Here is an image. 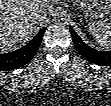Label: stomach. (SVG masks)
I'll use <instances>...</instances> for the list:
<instances>
[{"instance_id": "0dacf381", "label": "stomach", "mask_w": 111, "mask_h": 106, "mask_svg": "<svg viewBox=\"0 0 111 106\" xmlns=\"http://www.w3.org/2000/svg\"><path fill=\"white\" fill-rule=\"evenodd\" d=\"M75 5L85 17L102 18L111 10V0H78Z\"/></svg>"}]
</instances>
